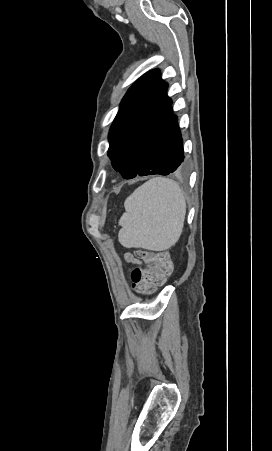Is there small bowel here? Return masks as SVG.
<instances>
[{
	"label": "small bowel",
	"mask_w": 272,
	"mask_h": 451,
	"mask_svg": "<svg viewBox=\"0 0 272 451\" xmlns=\"http://www.w3.org/2000/svg\"><path fill=\"white\" fill-rule=\"evenodd\" d=\"M125 259L127 262L133 263V264H139V261L131 254L127 253L125 255Z\"/></svg>",
	"instance_id": "small-bowel-1"
}]
</instances>
